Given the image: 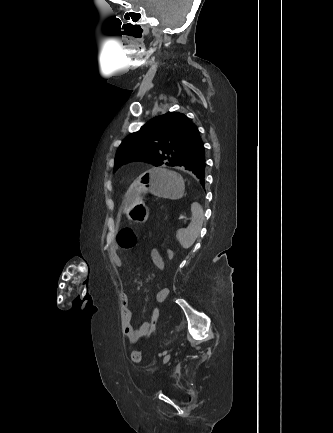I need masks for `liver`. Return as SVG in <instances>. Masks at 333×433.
<instances>
[{"label":"liver","mask_w":333,"mask_h":433,"mask_svg":"<svg viewBox=\"0 0 333 433\" xmlns=\"http://www.w3.org/2000/svg\"><path fill=\"white\" fill-rule=\"evenodd\" d=\"M141 189H144V186H141ZM133 198L135 201H144L146 198V195L144 192H135L133 195ZM124 208L126 210H132L134 208V203L132 201H126L124 203Z\"/></svg>","instance_id":"1"}]
</instances>
